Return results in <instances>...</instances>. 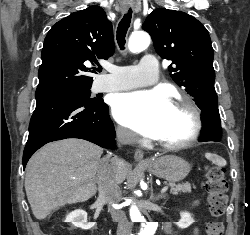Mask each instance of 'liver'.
I'll return each instance as SVG.
<instances>
[{
    "mask_svg": "<svg viewBox=\"0 0 250 235\" xmlns=\"http://www.w3.org/2000/svg\"><path fill=\"white\" fill-rule=\"evenodd\" d=\"M102 154V148L81 139L53 142L35 153L27 164L25 190L36 219L43 220L61 206L94 196L96 173L104 164ZM128 170L127 162L116 163L118 184L126 179Z\"/></svg>",
    "mask_w": 250,
    "mask_h": 235,
    "instance_id": "6515ba94",
    "label": "liver"
}]
</instances>
